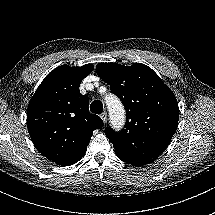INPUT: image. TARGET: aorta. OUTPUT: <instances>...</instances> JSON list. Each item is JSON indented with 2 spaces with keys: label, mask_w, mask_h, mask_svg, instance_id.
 I'll return each instance as SVG.
<instances>
[{
  "label": "aorta",
  "mask_w": 215,
  "mask_h": 215,
  "mask_svg": "<svg viewBox=\"0 0 215 215\" xmlns=\"http://www.w3.org/2000/svg\"><path fill=\"white\" fill-rule=\"evenodd\" d=\"M108 108L110 110L111 113H113L114 115H118V118H122L123 117V109L121 107V104L119 103V101L117 99H110L108 101Z\"/></svg>",
  "instance_id": "762f6f07"
}]
</instances>
